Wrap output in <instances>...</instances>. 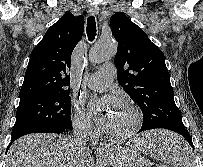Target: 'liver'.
<instances>
[{
    "label": "liver",
    "instance_id": "6515ba94",
    "mask_svg": "<svg viewBox=\"0 0 203 167\" xmlns=\"http://www.w3.org/2000/svg\"><path fill=\"white\" fill-rule=\"evenodd\" d=\"M141 142L134 143L140 147ZM111 147L106 158L112 164ZM6 167H94L91 152L78 150L71 136L29 134L15 141L7 154Z\"/></svg>",
    "mask_w": 203,
    "mask_h": 167
}]
</instances>
